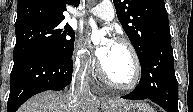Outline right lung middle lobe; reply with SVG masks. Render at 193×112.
Masks as SVG:
<instances>
[{"instance_id":"obj_1","label":"right lung middle lobe","mask_w":193,"mask_h":112,"mask_svg":"<svg viewBox=\"0 0 193 112\" xmlns=\"http://www.w3.org/2000/svg\"><path fill=\"white\" fill-rule=\"evenodd\" d=\"M70 37V39H69ZM74 31L60 23H39L16 29L14 59L37 49H51L62 56L72 57Z\"/></svg>"}]
</instances>
